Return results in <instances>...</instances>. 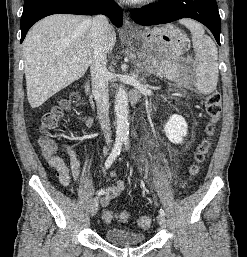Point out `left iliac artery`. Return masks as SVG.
Instances as JSON below:
<instances>
[{
  "label": "left iliac artery",
  "mask_w": 247,
  "mask_h": 257,
  "mask_svg": "<svg viewBox=\"0 0 247 257\" xmlns=\"http://www.w3.org/2000/svg\"><path fill=\"white\" fill-rule=\"evenodd\" d=\"M124 144H125V146H126V148H127V150H128V149H129V141H128L127 138L124 139ZM159 213H160L161 215H163V216L166 215V213H165V211H164L163 209H160V210H159Z\"/></svg>",
  "instance_id": "44dca946"
}]
</instances>
